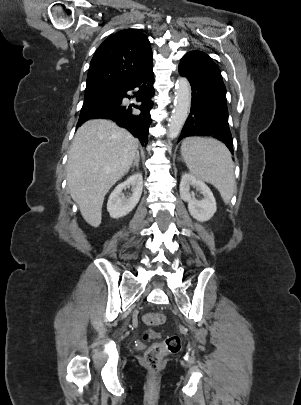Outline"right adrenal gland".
<instances>
[{
	"mask_svg": "<svg viewBox=\"0 0 301 405\" xmlns=\"http://www.w3.org/2000/svg\"><path fill=\"white\" fill-rule=\"evenodd\" d=\"M139 159H140L139 151H137V152H136L135 159H134V162H133V164H132V169H134L135 167H136L137 169L139 168Z\"/></svg>",
	"mask_w": 301,
	"mask_h": 405,
	"instance_id": "obj_1",
	"label": "right adrenal gland"
}]
</instances>
